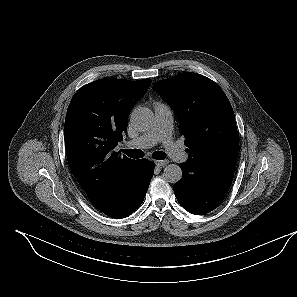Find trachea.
Wrapping results in <instances>:
<instances>
[{
  "label": "trachea",
  "mask_w": 297,
  "mask_h": 297,
  "mask_svg": "<svg viewBox=\"0 0 297 297\" xmlns=\"http://www.w3.org/2000/svg\"><path fill=\"white\" fill-rule=\"evenodd\" d=\"M123 152L130 158H142L144 157V152L140 149H124ZM152 157L157 160H164L166 153L163 151H156L153 153Z\"/></svg>",
  "instance_id": "trachea-1"
}]
</instances>
